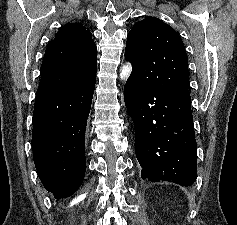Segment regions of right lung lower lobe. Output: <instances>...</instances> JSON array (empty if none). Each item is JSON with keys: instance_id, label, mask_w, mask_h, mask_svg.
Returning <instances> with one entry per match:
<instances>
[{"instance_id": "right-lung-lower-lobe-1", "label": "right lung lower lobe", "mask_w": 237, "mask_h": 225, "mask_svg": "<svg viewBox=\"0 0 237 225\" xmlns=\"http://www.w3.org/2000/svg\"><path fill=\"white\" fill-rule=\"evenodd\" d=\"M95 81L75 90L35 97L34 163L42 184L56 199L71 196L83 182L85 131Z\"/></svg>"}]
</instances>
